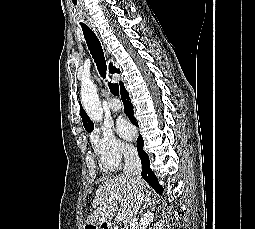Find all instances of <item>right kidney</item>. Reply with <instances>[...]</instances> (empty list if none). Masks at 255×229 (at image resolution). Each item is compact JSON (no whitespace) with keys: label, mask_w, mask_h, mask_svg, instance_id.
<instances>
[{"label":"right kidney","mask_w":255,"mask_h":229,"mask_svg":"<svg viewBox=\"0 0 255 229\" xmlns=\"http://www.w3.org/2000/svg\"><path fill=\"white\" fill-rule=\"evenodd\" d=\"M154 214L150 211L146 212L140 219V229H146L153 222Z\"/></svg>","instance_id":"right-kidney-1"}]
</instances>
